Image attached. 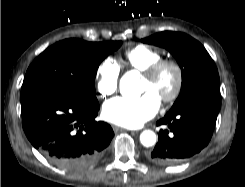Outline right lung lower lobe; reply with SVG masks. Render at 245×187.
<instances>
[{
	"label": "right lung lower lobe",
	"instance_id": "1",
	"mask_svg": "<svg viewBox=\"0 0 245 187\" xmlns=\"http://www.w3.org/2000/svg\"><path fill=\"white\" fill-rule=\"evenodd\" d=\"M22 126L31 144L50 162L68 171L95 165L114 136L97 122L99 104L61 93L21 100Z\"/></svg>",
	"mask_w": 245,
	"mask_h": 187
}]
</instances>
